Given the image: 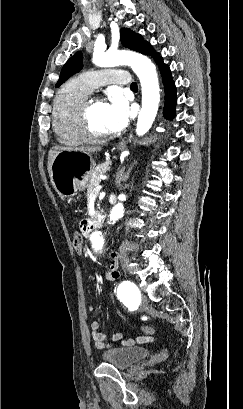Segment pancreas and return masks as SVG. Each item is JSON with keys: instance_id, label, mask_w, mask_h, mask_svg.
Returning <instances> with one entry per match:
<instances>
[{"instance_id": "1", "label": "pancreas", "mask_w": 243, "mask_h": 409, "mask_svg": "<svg viewBox=\"0 0 243 409\" xmlns=\"http://www.w3.org/2000/svg\"><path fill=\"white\" fill-rule=\"evenodd\" d=\"M110 168L109 162H105L103 164H99L90 174L88 184H87V197L89 198L90 195L93 193L94 188L99 185L101 179L100 174L107 172Z\"/></svg>"}]
</instances>
